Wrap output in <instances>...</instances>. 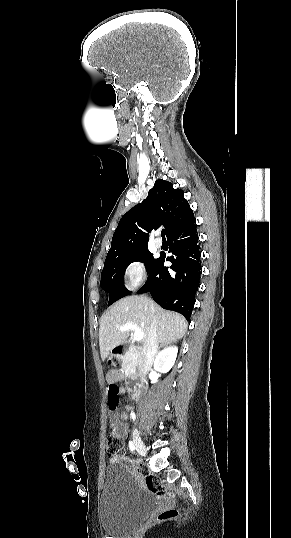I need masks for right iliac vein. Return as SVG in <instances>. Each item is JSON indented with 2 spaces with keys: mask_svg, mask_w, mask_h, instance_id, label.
<instances>
[{
  "mask_svg": "<svg viewBox=\"0 0 291 538\" xmlns=\"http://www.w3.org/2000/svg\"><path fill=\"white\" fill-rule=\"evenodd\" d=\"M133 442H134V445H135V448L137 450V452L141 455V456H145L146 453H147V450H146V447L144 445V443L142 442L140 436H139V433L137 431V429H134L133 431Z\"/></svg>",
  "mask_w": 291,
  "mask_h": 538,
  "instance_id": "obj_1",
  "label": "right iliac vein"
}]
</instances>
